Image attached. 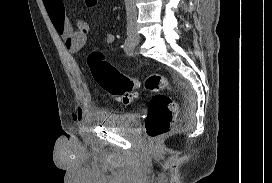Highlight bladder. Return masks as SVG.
<instances>
[{
  "label": "bladder",
  "instance_id": "bladder-1",
  "mask_svg": "<svg viewBox=\"0 0 272 183\" xmlns=\"http://www.w3.org/2000/svg\"><path fill=\"white\" fill-rule=\"evenodd\" d=\"M138 121L139 115L130 112L107 114L101 119L103 125L121 130H133Z\"/></svg>",
  "mask_w": 272,
  "mask_h": 183
}]
</instances>
